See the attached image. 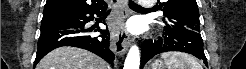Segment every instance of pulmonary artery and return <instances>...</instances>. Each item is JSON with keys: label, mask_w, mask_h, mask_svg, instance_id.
Returning <instances> with one entry per match:
<instances>
[{"label": "pulmonary artery", "mask_w": 246, "mask_h": 69, "mask_svg": "<svg viewBox=\"0 0 246 69\" xmlns=\"http://www.w3.org/2000/svg\"><path fill=\"white\" fill-rule=\"evenodd\" d=\"M140 4L142 5L143 8H149L153 5V3L150 1H140Z\"/></svg>", "instance_id": "obj_1"}]
</instances>
